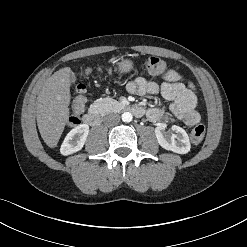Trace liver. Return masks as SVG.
I'll use <instances>...</instances> for the list:
<instances>
[{
	"mask_svg": "<svg viewBox=\"0 0 247 247\" xmlns=\"http://www.w3.org/2000/svg\"><path fill=\"white\" fill-rule=\"evenodd\" d=\"M71 73L70 67L56 71L47 78L38 95L37 125L50 148L57 146L69 118Z\"/></svg>",
	"mask_w": 247,
	"mask_h": 247,
	"instance_id": "1",
	"label": "liver"
}]
</instances>
